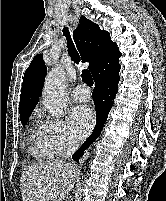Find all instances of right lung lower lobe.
Instances as JSON below:
<instances>
[{
    "mask_svg": "<svg viewBox=\"0 0 166 201\" xmlns=\"http://www.w3.org/2000/svg\"><path fill=\"white\" fill-rule=\"evenodd\" d=\"M120 68L121 66L119 63L110 64L94 79L95 88L93 91V100L97 115L96 127L79 150L73 154L72 158L74 161L79 162V158L84 154V151L95 141L96 138L99 137L101 133L117 93Z\"/></svg>",
    "mask_w": 166,
    "mask_h": 201,
    "instance_id": "obj_1",
    "label": "right lung lower lobe"
}]
</instances>
